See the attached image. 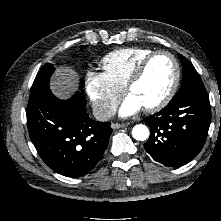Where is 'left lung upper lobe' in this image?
I'll return each mask as SVG.
<instances>
[{"label": "left lung upper lobe", "instance_id": "left-lung-upper-lobe-1", "mask_svg": "<svg viewBox=\"0 0 221 221\" xmlns=\"http://www.w3.org/2000/svg\"><path fill=\"white\" fill-rule=\"evenodd\" d=\"M178 56L183 67V80L178 93L172 100H176L190 93L206 92L204 84L193 65L181 54Z\"/></svg>", "mask_w": 221, "mask_h": 221}]
</instances>
